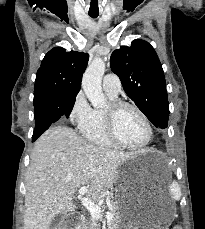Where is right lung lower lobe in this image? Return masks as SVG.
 <instances>
[{"instance_id":"98d812e1","label":"right lung lower lobe","mask_w":205,"mask_h":229,"mask_svg":"<svg viewBox=\"0 0 205 229\" xmlns=\"http://www.w3.org/2000/svg\"><path fill=\"white\" fill-rule=\"evenodd\" d=\"M67 97L68 96L55 98L34 108L36 124L32 142L45 132L52 123L59 120L61 116L69 117L75 101L71 102Z\"/></svg>"}]
</instances>
